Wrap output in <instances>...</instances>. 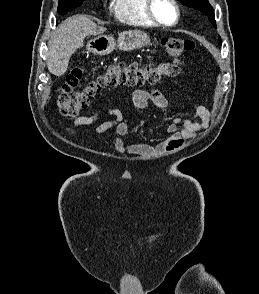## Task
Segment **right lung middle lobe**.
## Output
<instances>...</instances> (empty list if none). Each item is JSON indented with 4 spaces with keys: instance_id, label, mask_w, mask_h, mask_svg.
<instances>
[{
    "instance_id": "dd1d6c3e",
    "label": "right lung middle lobe",
    "mask_w": 259,
    "mask_h": 294,
    "mask_svg": "<svg viewBox=\"0 0 259 294\" xmlns=\"http://www.w3.org/2000/svg\"><path fill=\"white\" fill-rule=\"evenodd\" d=\"M84 0H59L58 13L60 15L66 14L68 11L80 6Z\"/></svg>"
}]
</instances>
